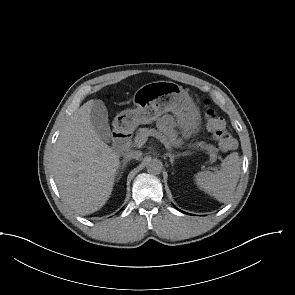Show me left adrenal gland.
<instances>
[{"label":"left adrenal gland","mask_w":295,"mask_h":295,"mask_svg":"<svg viewBox=\"0 0 295 295\" xmlns=\"http://www.w3.org/2000/svg\"><path fill=\"white\" fill-rule=\"evenodd\" d=\"M170 159V163H171V165L173 166V163H174V159L177 157V156H179V155H174V154H171V153H167L166 154Z\"/></svg>","instance_id":"left-adrenal-gland-1"}]
</instances>
